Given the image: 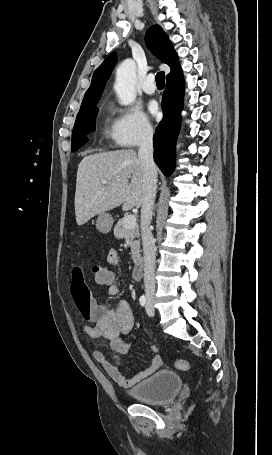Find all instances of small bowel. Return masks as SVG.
I'll return each mask as SVG.
<instances>
[{
	"label": "small bowel",
	"instance_id": "obj_1",
	"mask_svg": "<svg viewBox=\"0 0 272 455\" xmlns=\"http://www.w3.org/2000/svg\"><path fill=\"white\" fill-rule=\"evenodd\" d=\"M106 261L109 265L117 266L119 264L117 251L114 249L110 250L107 254ZM114 280L115 276L108 284L110 295H116L118 293V288ZM71 295L83 320L94 324L93 326L83 324L81 326L82 331L89 337L95 338L102 336L106 338L109 340L113 349L121 354H126L130 349V344L124 340V336L129 334L134 326V315L130 304L126 301H120L114 308L97 304L78 268L73 270ZM151 349L154 352L157 351L155 346H151ZM93 358L102 366L109 377L123 388L132 387L153 374L163 364L161 356L156 354L147 367L136 375L127 377L122 374L118 367L107 360L103 352L95 351Z\"/></svg>",
	"mask_w": 272,
	"mask_h": 455
}]
</instances>
